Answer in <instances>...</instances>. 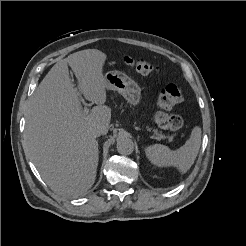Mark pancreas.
Here are the masks:
<instances>
[{
  "label": "pancreas",
  "instance_id": "obj_1",
  "mask_svg": "<svg viewBox=\"0 0 246 246\" xmlns=\"http://www.w3.org/2000/svg\"><path fill=\"white\" fill-rule=\"evenodd\" d=\"M154 133L158 134L157 130H154ZM170 140H172V137H169Z\"/></svg>",
  "mask_w": 246,
  "mask_h": 246
}]
</instances>
